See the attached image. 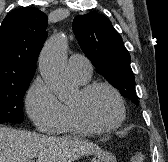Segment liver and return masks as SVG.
I'll list each match as a JSON object with an SVG mask.
<instances>
[{"instance_id": "6515ba94", "label": "liver", "mask_w": 168, "mask_h": 162, "mask_svg": "<svg viewBox=\"0 0 168 162\" xmlns=\"http://www.w3.org/2000/svg\"><path fill=\"white\" fill-rule=\"evenodd\" d=\"M101 152L86 140L40 135L0 126V162H74L85 155Z\"/></svg>"}]
</instances>
